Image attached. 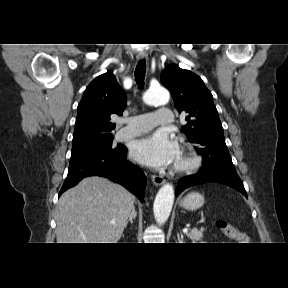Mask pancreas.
Wrapping results in <instances>:
<instances>
[{"label":"pancreas","mask_w":288,"mask_h":288,"mask_svg":"<svg viewBox=\"0 0 288 288\" xmlns=\"http://www.w3.org/2000/svg\"><path fill=\"white\" fill-rule=\"evenodd\" d=\"M204 229H192L189 233H187L188 238H190L194 243L196 241H200L203 237Z\"/></svg>","instance_id":"obj_1"}]
</instances>
